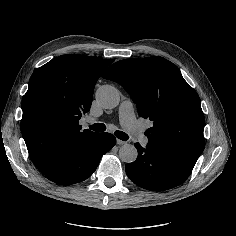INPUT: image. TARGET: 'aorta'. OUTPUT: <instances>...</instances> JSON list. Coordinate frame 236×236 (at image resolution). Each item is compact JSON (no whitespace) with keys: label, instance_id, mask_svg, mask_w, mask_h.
<instances>
[{"label":"aorta","instance_id":"1","mask_svg":"<svg viewBox=\"0 0 236 236\" xmlns=\"http://www.w3.org/2000/svg\"><path fill=\"white\" fill-rule=\"evenodd\" d=\"M97 102L105 109L118 106L120 96L117 89L111 85H103L96 92ZM138 151L131 144H124L119 149V158L122 162L132 163L137 159Z\"/></svg>","mask_w":236,"mask_h":236}]
</instances>
